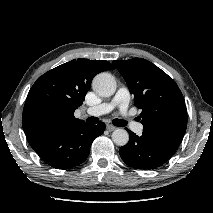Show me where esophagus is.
Masks as SVG:
<instances>
[{
	"label": "esophagus",
	"mask_w": 213,
	"mask_h": 213,
	"mask_svg": "<svg viewBox=\"0 0 213 213\" xmlns=\"http://www.w3.org/2000/svg\"><path fill=\"white\" fill-rule=\"evenodd\" d=\"M106 129H107L108 131H114V130L116 129V127L113 126V125H111V124H107V125H106Z\"/></svg>",
	"instance_id": "esophagus-1"
}]
</instances>
